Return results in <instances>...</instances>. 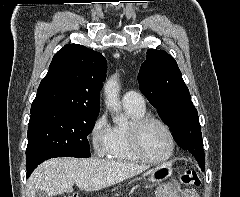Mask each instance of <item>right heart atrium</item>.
<instances>
[{"label":"right heart atrium","mask_w":240,"mask_h":197,"mask_svg":"<svg viewBox=\"0 0 240 197\" xmlns=\"http://www.w3.org/2000/svg\"><path fill=\"white\" fill-rule=\"evenodd\" d=\"M112 127L108 122L106 113L100 114L93 122L89 138L97 156L108 155L111 145Z\"/></svg>","instance_id":"1"}]
</instances>
